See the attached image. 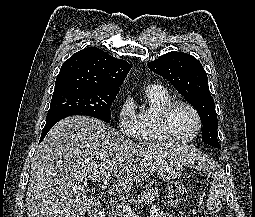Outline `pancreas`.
Here are the masks:
<instances>
[{
	"label": "pancreas",
	"instance_id": "obj_1",
	"mask_svg": "<svg viewBox=\"0 0 255 217\" xmlns=\"http://www.w3.org/2000/svg\"><path fill=\"white\" fill-rule=\"evenodd\" d=\"M139 198L141 199H129L126 201L127 205L128 204H146V205H151L153 202L156 201V199L159 197V189L158 188H154V189H146L145 191L141 192L140 195H138ZM108 217H121L122 216V211L119 207V205H112L108 212Z\"/></svg>",
	"mask_w": 255,
	"mask_h": 217
}]
</instances>
